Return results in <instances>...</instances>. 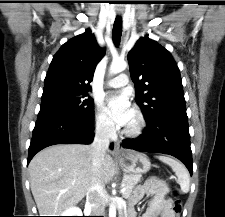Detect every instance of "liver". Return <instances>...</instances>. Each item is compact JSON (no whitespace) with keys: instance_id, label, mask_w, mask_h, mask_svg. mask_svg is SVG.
Instances as JSON below:
<instances>
[{"instance_id":"liver-1","label":"liver","mask_w":225,"mask_h":217,"mask_svg":"<svg viewBox=\"0 0 225 217\" xmlns=\"http://www.w3.org/2000/svg\"><path fill=\"white\" fill-rule=\"evenodd\" d=\"M92 145L57 144L36 154L29 164L30 186L40 216H59L76 205L93 181ZM116 173L115 163L105 153L97 180L105 185Z\"/></svg>"}]
</instances>
